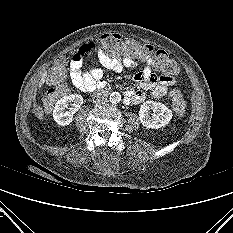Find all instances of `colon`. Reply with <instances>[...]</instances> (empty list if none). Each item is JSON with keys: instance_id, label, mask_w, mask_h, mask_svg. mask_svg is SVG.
Wrapping results in <instances>:
<instances>
[{"instance_id": "obj_1", "label": "colon", "mask_w": 233, "mask_h": 233, "mask_svg": "<svg viewBox=\"0 0 233 233\" xmlns=\"http://www.w3.org/2000/svg\"><path fill=\"white\" fill-rule=\"evenodd\" d=\"M99 51H104L108 54L114 55L118 53H125L130 56H144L152 57L158 71L164 75H172L178 72V64L163 50H158L151 45L140 44L134 40H123L118 34H105L101 36L97 43H90L82 46L79 53L83 59H90ZM66 60L58 58L54 67L50 70L48 81L51 88L48 90L45 107L50 109L55 100L60 95H65L68 92V87L64 78V69ZM168 99L173 110L179 115L183 116L186 113V101L183 95L178 90H171L168 94Z\"/></svg>"}]
</instances>
